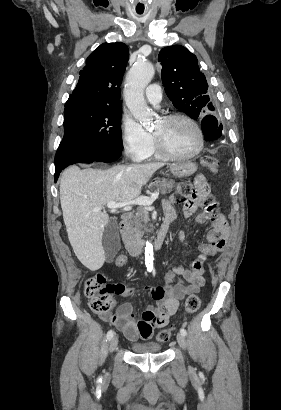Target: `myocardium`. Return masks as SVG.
Returning a JSON list of instances; mask_svg holds the SVG:
<instances>
[{
  "mask_svg": "<svg viewBox=\"0 0 281 410\" xmlns=\"http://www.w3.org/2000/svg\"><path fill=\"white\" fill-rule=\"evenodd\" d=\"M177 119L185 120L195 128L197 135H198V139H199V144H198L197 149L190 154H174L164 145L162 140L157 135L153 134L155 147L159 155L167 160L192 159L198 156L203 151L204 144H205V137H204L203 130L201 126L199 125V123L194 118L184 113L168 114V115L163 116L161 120L167 123V122H171Z\"/></svg>",
  "mask_w": 281,
  "mask_h": 410,
  "instance_id": "obj_1",
  "label": "myocardium"
}]
</instances>
